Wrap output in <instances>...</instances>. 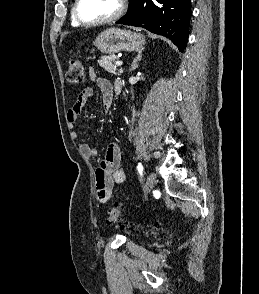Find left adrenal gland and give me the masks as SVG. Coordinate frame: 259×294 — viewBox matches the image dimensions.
Returning a JSON list of instances; mask_svg holds the SVG:
<instances>
[{
	"instance_id": "left-adrenal-gland-1",
	"label": "left adrenal gland",
	"mask_w": 259,
	"mask_h": 294,
	"mask_svg": "<svg viewBox=\"0 0 259 294\" xmlns=\"http://www.w3.org/2000/svg\"><path fill=\"white\" fill-rule=\"evenodd\" d=\"M142 50L144 49H141L137 56L135 57V59L133 60L132 62V65H131V69H130V72L136 70L138 68V62L142 59Z\"/></svg>"
}]
</instances>
